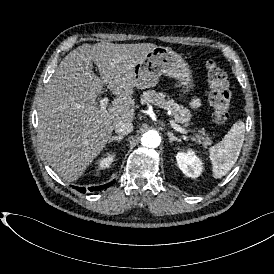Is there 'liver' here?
<instances>
[{
	"label": "liver",
	"instance_id": "6515ba94",
	"mask_svg": "<svg viewBox=\"0 0 274 274\" xmlns=\"http://www.w3.org/2000/svg\"><path fill=\"white\" fill-rule=\"evenodd\" d=\"M157 45L85 43L70 52L52 74L38 106L43 153L60 176L79 180L111 140L115 125L135 119V66ZM97 66L101 79L94 74ZM103 84L116 96L100 109Z\"/></svg>",
	"mask_w": 274,
	"mask_h": 274
}]
</instances>
